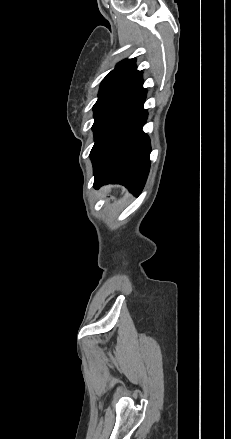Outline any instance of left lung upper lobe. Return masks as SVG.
Returning <instances> with one entry per match:
<instances>
[{
	"label": "left lung upper lobe",
	"instance_id": "5c2ea615",
	"mask_svg": "<svg viewBox=\"0 0 231 439\" xmlns=\"http://www.w3.org/2000/svg\"><path fill=\"white\" fill-rule=\"evenodd\" d=\"M135 62V59L119 62L103 79L93 106V126L143 82L142 72L137 70Z\"/></svg>",
	"mask_w": 231,
	"mask_h": 439
}]
</instances>
